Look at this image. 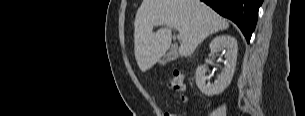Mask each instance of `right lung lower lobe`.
<instances>
[{
  "label": "right lung lower lobe",
  "instance_id": "98d812e1",
  "mask_svg": "<svg viewBox=\"0 0 305 116\" xmlns=\"http://www.w3.org/2000/svg\"><path fill=\"white\" fill-rule=\"evenodd\" d=\"M220 15L232 20L243 32L247 42L257 22L258 9L263 0H201Z\"/></svg>",
  "mask_w": 305,
  "mask_h": 116
}]
</instances>
